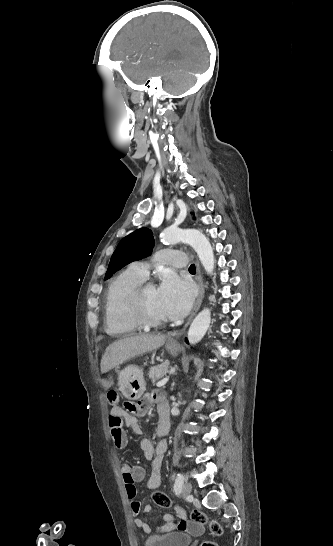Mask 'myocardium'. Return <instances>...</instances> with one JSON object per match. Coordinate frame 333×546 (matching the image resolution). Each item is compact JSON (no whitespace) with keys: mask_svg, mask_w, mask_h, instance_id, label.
I'll return each instance as SVG.
<instances>
[{"mask_svg":"<svg viewBox=\"0 0 333 546\" xmlns=\"http://www.w3.org/2000/svg\"><path fill=\"white\" fill-rule=\"evenodd\" d=\"M153 286L151 282H145L135 286L128 294L126 304L130 315L141 326L145 327H161L167 323L166 319H155L150 317L143 308V294L145 290Z\"/></svg>","mask_w":333,"mask_h":546,"instance_id":"f54148a6","label":"myocardium"}]
</instances>
